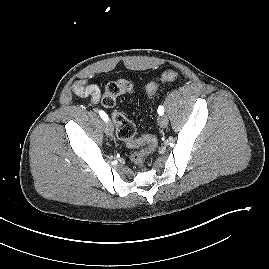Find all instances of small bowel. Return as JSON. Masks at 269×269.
<instances>
[{
  "mask_svg": "<svg viewBox=\"0 0 269 269\" xmlns=\"http://www.w3.org/2000/svg\"><path fill=\"white\" fill-rule=\"evenodd\" d=\"M72 92L79 97H90L92 104H98L102 97L101 89L87 79H80L72 86Z\"/></svg>",
  "mask_w": 269,
  "mask_h": 269,
  "instance_id": "small-bowel-1",
  "label": "small bowel"
}]
</instances>
